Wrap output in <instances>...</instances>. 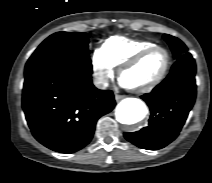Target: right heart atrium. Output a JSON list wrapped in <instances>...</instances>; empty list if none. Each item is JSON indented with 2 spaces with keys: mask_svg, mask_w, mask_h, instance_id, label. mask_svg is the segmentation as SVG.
I'll return each mask as SVG.
<instances>
[{
  "mask_svg": "<svg viewBox=\"0 0 212 183\" xmlns=\"http://www.w3.org/2000/svg\"><path fill=\"white\" fill-rule=\"evenodd\" d=\"M92 70L96 83L106 86L114 75V65L110 62L103 48L95 50L92 56Z\"/></svg>",
  "mask_w": 212,
  "mask_h": 183,
  "instance_id": "right-heart-atrium-1",
  "label": "right heart atrium"
}]
</instances>
